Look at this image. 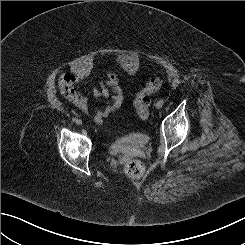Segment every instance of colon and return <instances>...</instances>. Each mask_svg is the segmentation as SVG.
Returning <instances> with one entry per match:
<instances>
[{"instance_id": "colon-1", "label": "colon", "mask_w": 245, "mask_h": 245, "mask_svg": "<svg viewBox=\"0 0 245 245\" xmlns=\"http://www.w3.org/2000/svg\"><path fill=\"white\" fill-rule=\"evenodd\" d=\"M162 86V82L157 77L150 78L145 86L137 93L134 106L141 120H146L149 116L151 96L157 93ZM145 167L139 160H130L124 166L125 174L133 179H139L144 174Z\"/></svg>"}]
</instances>
